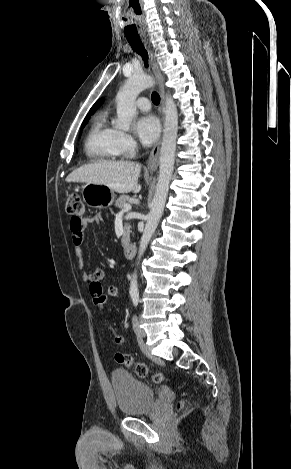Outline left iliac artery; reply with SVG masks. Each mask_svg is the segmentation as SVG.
I'll return each instance as SVG.
<instances>
[{"label":"left iliac artery","instance_id":"obj_1","mask_svg":"<svg viewBox=\"0 0 291 469\" xmlns=\"http://www.w3.org/2000/svg\"><path fill=\"white\" fill-rule=\"evenodd\" d=\"M131 297H132V301H133L134 306H137L138 302H139V294L138 293H133L131 295Z\"/></svg>","mask_w":291,"mask_h":469}]
</instances>
